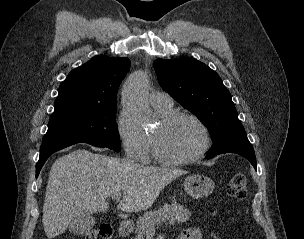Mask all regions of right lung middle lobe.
I'll list each match as a JSON object with an SVG mask.
<instances>
[{
  "label": "right lung middle lobe",
  "mask_w": 304,
  "mask_h": 239,
  "mask_svg": "<svg viewBox=\"0 0 304 239\" xmlns=\"http://www.w3.org/2000/svg\"><path fill=\"white\" fill-rule=\"evenodd\" d=\"M116 109V105H111L54 112L50 117L42 145L84 142L99 144L119 152L121 147L115 123Z\"/></svg>",
  "instance_id": "dd1d6c3e"
}]
</instances>
